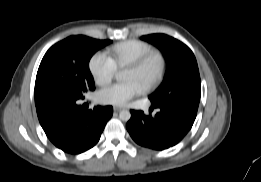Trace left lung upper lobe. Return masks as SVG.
<instances>
[{
    "mask_svg": "<svg viewBox=\"0 0 261 182\" xmlns=\"http://www.w3.org/2000/svg\"><path fill=\"white\" fill-rule=\"evenodd\" d=\"M165 54L167 70L162 84L149 96L152 105H167L184 98L200 100L201 81L193 52L182 42L165 34L141 37Z\"/></svg>",
    "mask_w": 261,
    "mask_h": 182,
    "instance_id": "5c2ea615",
    "label": "left lung upper lobe"
}]
</instances>
